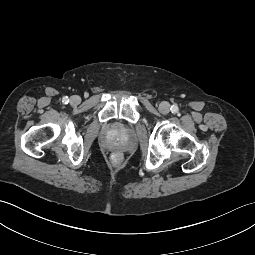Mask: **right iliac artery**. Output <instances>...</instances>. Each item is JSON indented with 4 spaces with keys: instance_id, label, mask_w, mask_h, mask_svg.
I'll return each instance as SVG.
<instances>
[{
    "instance_id": "right-iliac-artery-1",
    "label": "right iliac artery",
    "mask_w": 255,
    "mask_h": 255,
    "mask_svg": "<svg viewBox=\"0 0 255 255\" xmlns=\"http://www.w3.org/2000/svg\"><path fill=\"white\" fill-rule=\"evenodd\" d=\"M62 102L67 104L69 102V98L67 96L63 97Z\"/></svg>"
}]
</instances>
